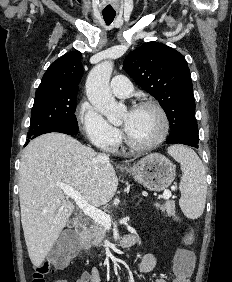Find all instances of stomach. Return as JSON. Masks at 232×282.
<instances>
[{
	"label": "stomach",
	"mask_w": 232,
	"mask_h": 282,
	"mask_svg": "<svg viewBox=\"0 0 232 282\" xmlns=\"http://www.w3.org/2000/svg\"><path fill=\"white\" fill-rule=\"evenodd\" d=\"M127 171L145 188L155 192L168 188L176 176L175 165L158 153L141 158Z\"/></svg>",
	"instance_id": "stomach-1"
}]
</instances>
